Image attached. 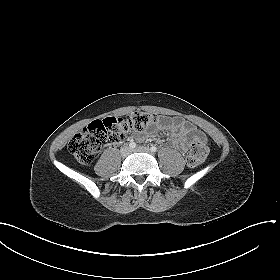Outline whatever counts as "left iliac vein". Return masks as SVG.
Instances as JSON below:
<instances>
[{
	"instance_id": "obj_1",
	"label": "left iliac vein",
	"mask_w": 280,
	"mask_h": 280,
	"mask_svg": "<svg viewBox=\"0 0 280 280\" xmlns=\"http://www.w3.org/2000/svg\"><path fill=\"white\" fill-rule=\"evenodd\" d=\"M133 151L134 152H145V153L151 154L150 149L148 147H145V146H140Z\"/></svg>"
}]
</instances>
